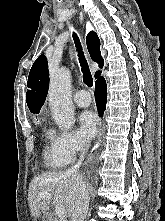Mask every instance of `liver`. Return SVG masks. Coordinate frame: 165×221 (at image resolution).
<instances>
[{
    "mask_svg": "<svg viewBox=\"0 0 165 221\" xmlns=\"http://www.w3.org/2000/svg\"><path fill=\"white\" fill-rule=\"evenodd\" d=\"M42 192L51 194V197L38 199ZM74 194V181L66 172H45L33 178L29 185L28 203L34 219L41 213L44 215L49 205L63 206L66 214L71 216V202Z\"/></svg>",
    "mask_w": 165,
    "mask_h": 221,
    "instance_id": "1",
    "label": "liver"
}]
</instances>
